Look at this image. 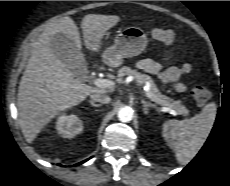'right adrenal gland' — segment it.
I'll return each instance as SVG.
<instances>
[{
    "label": "right adrenal gland",
    "instance_id": "right-adrenal-gland-1",
    "mask_svg": "<svg viewBox=\"0 0 230 186\" xmlns=\"http://www.w3.org/2000/svg\"><path fill=\"white\" fill-rule=\"evenodd\" d=\"M89 103L94 107H100L101 106V104H96L93 101H89Z\"/></svg>",
    "mask_w": 230,
    "mask_h": 186
}]
</instances>
